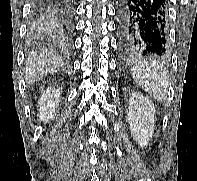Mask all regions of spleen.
I'll use <instances>...</instances> for the list:
<instances>
[{
	"label": "spleen",
	"mask_w": 197,
	"mask_h": 181,
	"mask_svg": "<svg viewBox=\"0 0 197 181\" xmlns=\"http://www.w3.org/2000/svg\"><path fill=\"white\" fill-rule=\"evenodd\" d=\"M135 82L157 101H164L168 92V77L165 68L157 62L143 61L132 68Z\"/></svg>",
	"instance_id": "spleen-1"
}]
</instances>
